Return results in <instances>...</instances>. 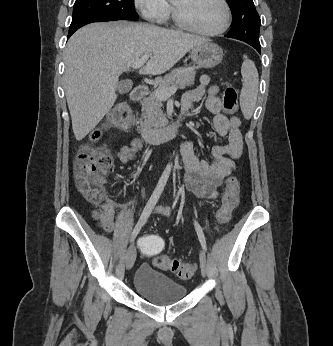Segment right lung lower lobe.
<instances>
[{"label": "right lung lower lobe", "instance_id": "1", "mask_svg": "<svg viewBox=\"0 0 333 346\" xmlns=\"http://www.w3.org/2000/svg\"><path fill=\"white\" fill-rule=\"evenodd\" d=\"M74 32H75V31L69 32V33H68V38H69Z\"/></svg>", "mask_w": 333, "mask_h": 346}]
</instances>
